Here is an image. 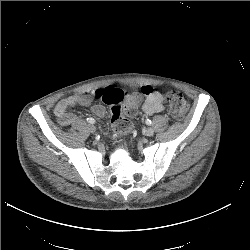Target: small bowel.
<instances>
[{"instance_id": "1", "label": "small bowel", "mask_w": 250, "mask_h": 250, "mask_svg": "<svg viewBox=\"0 0 250 250\" xmlns=\"http://www.w3.org/2000/svg\"><path fill=\"white\" fill-rule=\"evenodd\" d=\"M141 90L145 95V101L142 105V111L145 114L152 115L165 109V97L161 92L151 86H143ZM94 97L95 95L92 92H84L61 99L54 109L58 122L63 126L73 124L77 118L69 112V109L75 106L89 107ZM91 110L97 117H102L105 114V108L101 104L93 105Z\"/></svg>"}]
</instances>
